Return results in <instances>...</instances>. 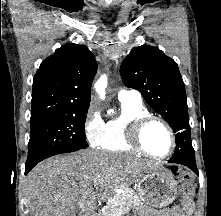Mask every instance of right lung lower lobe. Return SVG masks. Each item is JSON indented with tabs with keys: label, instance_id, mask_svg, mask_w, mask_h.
<instances>
[{
	"label": "right lung lower lobe",
	"instance_id": "98d812e1",
	"mask_svg": "<svg viewBox=\"0 0 221 216\" xmlns=\"http://www.w3.org/2000/svg\"><path fill=\"white\" fill-rule=\"evenodd\" d=\"M36 164L26 165L25 166V174H27Z\"/></svg>",
	"mask_w": 221,
	"mask_h": 216
}]
</instances>
